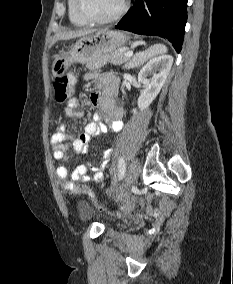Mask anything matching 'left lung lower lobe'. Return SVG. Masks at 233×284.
Segmentation results:
<instances>
[{
  "label": "left lung lower lobe",
  "instance_id": "left-lung-lower-lobe-1",
  "mask_svg": "<svg viewBox=\"0 0 233 284\" xmlns=\"http://www.w3.org/2000/svg\"><path fill=\"white\" fill-rule=\"evenodd\" d=\"M188 0H135L115 28L167 39L179 53L187 21Z\"/></svg>",
  "mask_w": 233,
  "mask_h": 284
}]
</instances>
